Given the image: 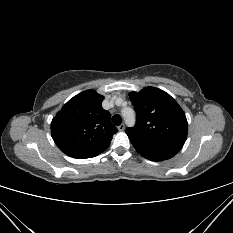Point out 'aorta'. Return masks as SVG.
Segmentation results:
<instances>
[{
    "label": "aorta",
    "mask_w": 233,
    "mask_h": 233,
    "mask_svg": "<svg viewBox=\"0 0 233 233\" xmlns=\"http://www.w3.org/2000/svg\"><path fill=\"white\" fill-rule=\"evenodd\" d=\"M122 115L128 126H133L135 123V112L132 108H124L122 110Z\"/></svg>",
    "instance_id": "obj_1"
}]
</instances>
